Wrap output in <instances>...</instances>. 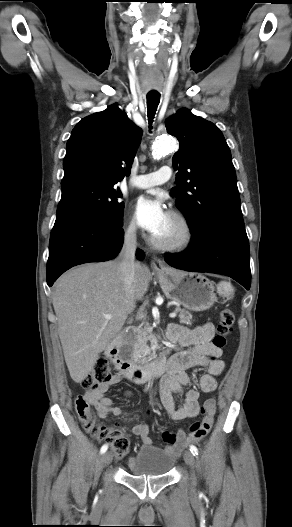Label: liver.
Listing matches in <instances>:
<instances>
[{
	"mask_svg": "<svg viewBox=\"0 0 292 527\" xmlns=\"http://www.w3.org/2000/svg\"><path fill=\"white\" fill-rule=\"evenodd\" d=\"M150 273L135 263L132 294L128 296L120 261L90 263L62 275L54 284L52 303L58 334L73 381L81 383L93 370L99 354L120 332L135 301L148 290ZM133 301V303H132ZM111 314V319L104 315Z\"/></svg>",
	"mask_w": 292,
	"mask_h": 527,
	"instance_id": "obj_1",
	"label": "liver"
}]
</instances>
